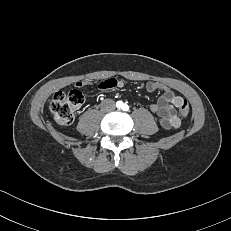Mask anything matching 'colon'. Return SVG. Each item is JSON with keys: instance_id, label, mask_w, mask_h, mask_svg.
<instances>
[{"instance_id": "5ec220e1", "label": "colon", "mask_w": 231, "mask_h": 231, "mask_svg": "<svg viewBox=\"0 0 231 231\" xmlns=\"http://www.w3.org/2000/svg\"><path fill=\"white\" fill-rule=\"evenodd\" d=\"M84 103V95L77 89L69 92L59 91L55 93L51 99L49 109L57 123L61 125H69L73 122L75 113ZM182 116H188L190 107L184 99L179 106Z\"/></svg>"}]
</instances>
